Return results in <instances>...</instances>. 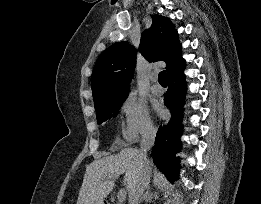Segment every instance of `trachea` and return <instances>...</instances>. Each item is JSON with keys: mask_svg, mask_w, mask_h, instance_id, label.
I'll return each instance as SVG.
<instances>
[{"mask_svg": "<svg viewBox=\"0 0 261 204\" xmlns=\"http://www.w3.org/2000/svg\"><path fill=\"white\" fill-rule=\"evenodd\" d=\"M158 81H159L160 84H167V78H166L165 70H163L159 73Z\"/></svg>", "mask_w": 261, "mask_h": 204, "instance_id": "trachea-1", "label": "trachea"}]
</instances>
